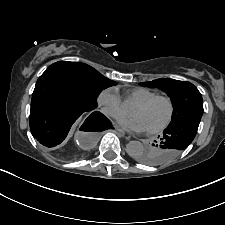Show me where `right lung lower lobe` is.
<instances>
[{"instance_id":"right-lung-lower-lobe-1","label":"right lung lower lobe","mask_w":225,"mask_h":225,"mask_svg":"<svg viewBox=\"0 0 225 225\" xmlns=\"http://www.w3.org/2000/svg\"><path fill=\"white\" fill-rule=\"evenodd\" d=\"M82 113L94 120L91 131L112 128L109 120L69 83L54 76L39 77L32 94L30 130L44 147H59Z\"/></svg>"}]
</instances>
